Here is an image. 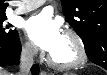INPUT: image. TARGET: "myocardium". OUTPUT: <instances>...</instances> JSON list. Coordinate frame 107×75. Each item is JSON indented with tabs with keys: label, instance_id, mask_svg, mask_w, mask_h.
<instances>
[{
	"label": "myocardium",
	"instance_id": "myocardium-1",
	"mask_svg": "<svg viewBox=\"0 0 107 75\" xmlns=\"http://www.w3.org/2000/svg\"><path fill=\"white\" fill-rule=\"evenodd\" d=\"M64 35L68 36L73 41L77 52L76 58L71 62L60 63L57 62L50 54L48 56V63L52 67L61 70L73 69L83 65L87 60V50L82 38L79 36V34L76 31H74L71 28L65 29Z\"/></svg>",
	"mask_w": 107,
	"mask_h": 75
}]
</instances>
